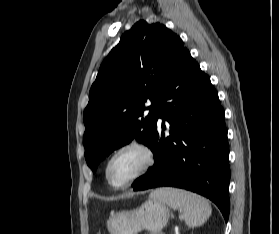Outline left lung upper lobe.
Here are the masks:
<instances>
[{"mask_svg": "<svg viewBox=\"0 0 279 234\" xmlns=\"http://www.w3.org/2000/svg\"><path fill=\"white\" fill-rule=\"evenodd\" d=\"M183 47L166 26L142 20L103 61L83 115L85 159L93 172L134 138L153 150L159 94Z\"/></svg>", "mask_w": 279, "mask_h": 234, "instance_id": "5c2ea615", "label": "left lung upper lobe"}]
</instances>
